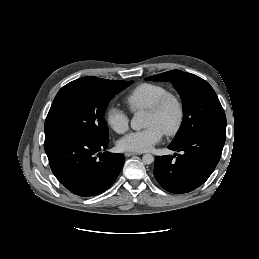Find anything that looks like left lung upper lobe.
Segmentation results:
<instances>
[{"instance_id": "obj_1", "label": "left lung upper lobe", "mask_w": 259, "mask_h": 259, "mask_svg": "<svg viewBox=\"0 0 259 259\" xmlns=\"http://www.w3.org/2000/svg\"><path fill=\"white\" fill-rule=\"evenodd\" d=\"M169 81L183 102L184 117L171 144L179 145L202 132L226 133V117L213 88L202 78L180 70H171L146 78Z\"/></svg>"}]
</instances>
